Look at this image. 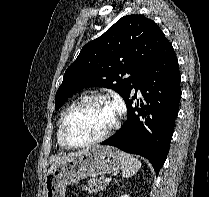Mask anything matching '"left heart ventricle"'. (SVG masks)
Returning a JSON list of instances; mask_svg holds the SVG:
<instances>
[{"label": "left heart ventricle", "mask_w": 209, "mask_h": 197, "mask_svg": "<svg viewBox=\"0 0 209 197\" xmlns=\"http://www.w3.org/2000/svg\"><path fill=\"white\" fill-rule=\"evenodd\" d=\"M115 116L116 112L109 103L87 104L70 118L67 127L68 137L75 143L93 139L111 126Z\"/></svg>", "instance_id": "1"}]
</instances>
